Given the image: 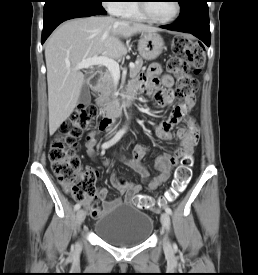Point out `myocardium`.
I'll use <instances>...</instances> for the list:
<instances>
[{
  "mask_svg": "<svg viewBox=\"0 0 258 275\" xmlns=\"http://www.w3.org/2000/svg\"><path fill=\"white\" fill-rule=\"evenodd\" d=\"M140 2H145V1H140ZM175 5H176V11H175V14L168 18V19H164V20H160V19H156L154 18L150 13H149V10H148V6L146 3H139L138 4V7H139V10L140 12L143 14V16L148 19L149 21L153 22V23H157V24H168V23H171L173 22L174 20H176L178 18V16L180 15L181 13V5L179 3L178 0H175Z\"/></svg>",
  "mask_w": 258,
  "mask_h": 275,
  "instance_id": "obj_1",
  "label": "myocardium"
}]
</instances>
